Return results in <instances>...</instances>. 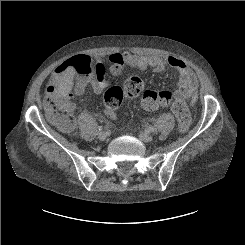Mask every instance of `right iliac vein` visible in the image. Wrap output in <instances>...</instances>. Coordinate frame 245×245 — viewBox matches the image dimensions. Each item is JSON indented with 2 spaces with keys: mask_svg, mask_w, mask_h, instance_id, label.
<instances>
[{
  "mask_svg": "<svg viewBox=\"0 0 245 245\" xmlns=\"http://www.w3.org/2000/svg\"><path fill=\"white\" fill-rule=\"evenodd\" d=\"M98 138L101 140V141H104L106 138H107V133L105 132H100L98 134Z\"/></svg>",
  "mask_w": 245,
  "mask_h": 245,
  "instance_id": "63e3f726",
  "label": "right iliac vein"
}]
</instances>
